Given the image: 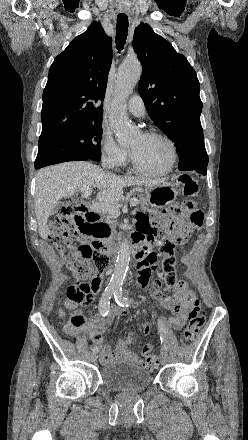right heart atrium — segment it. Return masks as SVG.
<instances>
[{
	"instance_id": "right-heart-atrium-1",
	"label": "right heart atrium",
	"mask_w": 248,
	"mask_h": 440,
	"mask_svg": "<svg viewBox=\"0 0 248 440\" xmlns=\"http://www.w3.org/2000/svg\"><path fill=\"white\" fill-rule=\"evenodd\" d=\"M101 152L104 162L113 168L124 166L129 158V151L121 146L113 133L107 129L101 136Z\"/></svg>"
}]
</instances>
